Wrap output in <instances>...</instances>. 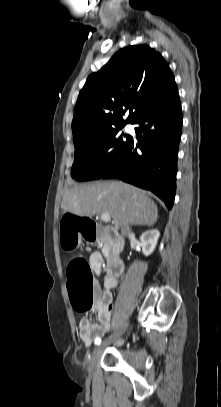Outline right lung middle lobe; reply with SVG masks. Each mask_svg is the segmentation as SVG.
Returning a JSON list of instances; mask_svg holds the SVG:
<instances>
[{"label": "right lung middle lobe", "instance_id": "dd1d6c3e", "mask_svg": "<svg viewBox=\"0 0 221 407\" xmlns=\"http://www.w3.org/2000/svg\"><path fill=\"white\" fill-rule=\"evenodd\" d=\"M124 125L74 144L71 176L80 181L100 179L115 166L128 149L132 137L119 132Z\"/></svg>", "mask_w": 221, "mask_h": 407}]
</instances>
